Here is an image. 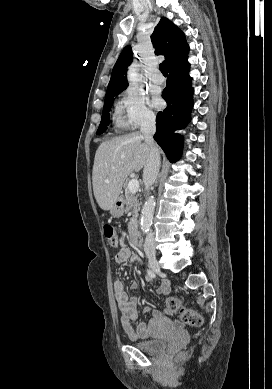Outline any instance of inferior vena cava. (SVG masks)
Listing matches in <instances>:
<instances>
[{"label": "inferior vena cava", "instance_id": "1", "mask_svg": "<svg viewBox=\"0 0 272 389\" xmlns=\"http://www.w3.org/2000/svg\"><path fill=\"white\" fill-rule=\"evenodd\" d=\"M140 130L145 138V142L149 145V155L143 170V181L146 188H149L156 181L160 169V152L153 139L156 131L155 117H146ZM144 251L145 253H155L154 234L152 232H149L146 236Z\"/></svg>", "mask_w": 272, "mask_h": 389}]
</instances>
